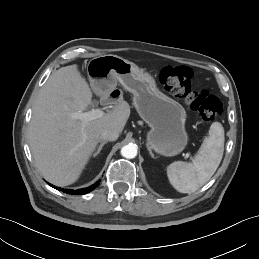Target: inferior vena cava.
Returning <instances> with one entry per match:
<instances>
[{"instance_id":"602c4592","label":"inferior vena cava","mask_w":259,"mask_h":259,"mask_svg":"<svg viewBox=\"0 0 259 259\" xmlns=\"http://www.w3.org/2000/svg\"><path fill=\"white\" fill-rule=\"evenodd\" d=\"M119 137V133L116 130L112 129H105L102 133L100 138L103 141H115Z\"/></svg>"}]
</instances>
